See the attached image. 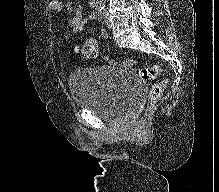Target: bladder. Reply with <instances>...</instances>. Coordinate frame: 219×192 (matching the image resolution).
<instances>
[{"mask_svg": "<svg viewBox=\"0 0 219 192\" xmlns=\"http://www.w3.org/2000/svg\"><path fill=\"white\" fill-rule=\"evenodd\" d=\"M69 85L77 108L108 122L134 115L144 97V87L130 72L111 65L74 70Z\"/></svg>", "mask_w": 219, "mask_h": 192, "instance_id": "1", "label": "bladder"}]
</instances>
